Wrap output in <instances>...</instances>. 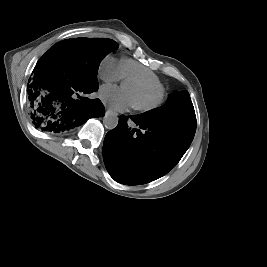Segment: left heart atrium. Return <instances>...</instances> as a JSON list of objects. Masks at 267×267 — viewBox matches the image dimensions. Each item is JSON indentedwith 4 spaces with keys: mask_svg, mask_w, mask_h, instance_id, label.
Returning <instances> with one entry per match:
<instances>
[{
    "mask_svg": "<svg viewBox=\"0 0 267 267\" xmlns=\"http://www.w3.org/2000/svg\"><path fill=\"white\" fill-rule=\"evenodd\" d=\"M101 99L114 111L126 110L133 104V99L127 89L105 85L100 89Z\"/></svg>",
    "mask_w": 267,
    "mask_h": 267,
    "instance_id": "obj_1",
    "label": "left heart atrium"
}]
</instances>
